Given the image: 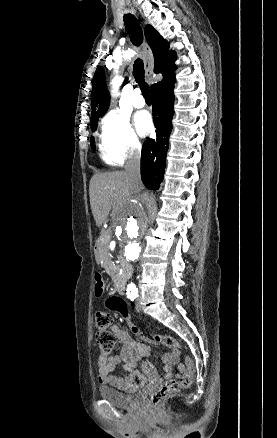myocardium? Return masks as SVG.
<instances>
[{"label":"myocardium","mask_w":277,"mask_h":438,"mask_svg":"<svg viewBox=\"0 0 277 438\" xmlns=\"http://www.w3.org/2000/svg\"><path fill=\"white\" fill-rule=\"evenodd\" d=\"M133 50H140V49H138V48H134Z\"/></svg>","instance_id":"f54148a6"}]
</instances>
